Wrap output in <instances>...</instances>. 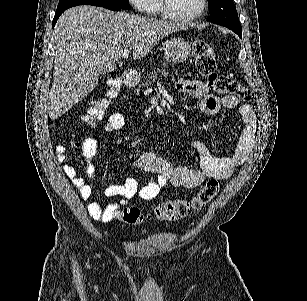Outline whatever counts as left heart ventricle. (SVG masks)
<instances>
[{
    "label": "left heart ventricle",
    "instance_id": "b2bd125f",
    "mask_svg": "<svg viewBox=\"0 0 307 301\" xmlns=\"http://www.w3.org/2000/svg\"><path fill=\"white\" fill-rule=\"evenodd\" d=\"M172 3L171 13H188L197 11L200 0H169Z\"/></svg>",
    "mask_w": 307,
    "mask_h": 301
}]
</instances>
